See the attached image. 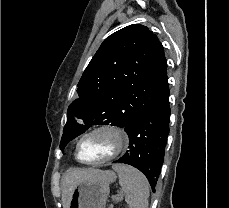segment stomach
<instances>
[{
	"instance_id": "0dacf381",
	"label": "stomach",
	"mask_w": 229,
	"mask_h": 208,
	"mask_svg": "<svg viewBox=\"0 0 229 208\" xmlns=\"http://www.w3.org/2000/svg\"><path fill=\"white\" fill-rule=\"evenodd\" d=\"M114 172H103L100 178L80 182L70 196L69 208H106L109 184L115 182Z\"/></svg>"
}]
</instances>
